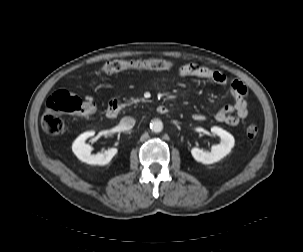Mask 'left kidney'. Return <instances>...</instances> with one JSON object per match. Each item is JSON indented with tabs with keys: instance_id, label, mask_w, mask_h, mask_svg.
<instances>
[{
	"instance_id": "obj_1",
	"label": "left kidney",
	"mask_w": 303,
	"mask_h": 252,
	"mask_svg": "<svg viewBox=\"0 0 303 252\" xmlns=\"http://www.w3.org/2000/svg\"><path fill=\"white\" fill-rule=\"evenodd\" d=\"M211 132L221 138L220 144L212 146L211 152L203 151L197 147H193L191 149L193 158L203 164H212L220 161L222 158L228 155L231 152V149L234 147V137L226 130L213 126L211 128Z\"/></svg>"
}]
</instances>
